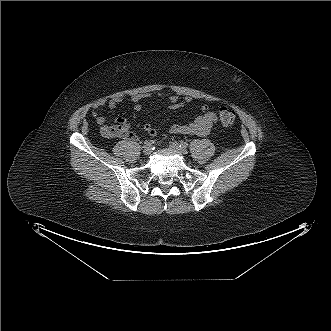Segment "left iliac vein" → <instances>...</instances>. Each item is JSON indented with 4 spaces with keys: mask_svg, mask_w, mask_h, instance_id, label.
<instances>
[{
    "mask_svg": "<svg viewBox=\"0 0 331 331\" xmlns=\"http://www.w3.org/2000/svg\"><path fill=\"white\" fill-rule=\"evenodd\" d=\"M169 148L181 155H186L187 154V150L185 148H182L180 146V144H178L177 142H171L169 144Z\"/></svg>",
    "mask_w": 331,
    "mask_h": 331,
    "instance_id": "1",
    "label": "left iliac vein"
}]
</instances>
